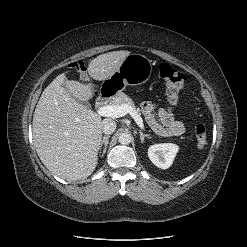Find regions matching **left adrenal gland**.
<instances>
[{"label":"left adrenal gland","instance_id":"a2214340","mask_svg":"<svg viewBox=\"0 0 247 247\" xmlns=\"http://www.w3.org/2000/svg\"><path fill=\"white\" fill-rule=\"evenodd\" d=\"M139 133H140L141 143H144V138H149V135L148 134H143L142 131H139Z\"/></svg>","mask_w":247,"mask_h":247}]
</instances>
